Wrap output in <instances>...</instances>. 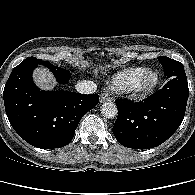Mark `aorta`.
I'll return each mask as SVG.
<instances>
[{
  "label": "aorta",
  "instance_id": "aorta-1",
  "mask_svg": "<svg viewBox=\"0 0 195 195\" xmlns=\"http://www.w3.org/2000/svg\"><path fill=\"white\" fill-rule=\"evenodd\" d=\"M101 113L106 118H115L118 114L116 104L113 102H105L101 106Z\"/></svg>",
  "mask_w": 195,
  "mask_h": 195
}]
</instances>
